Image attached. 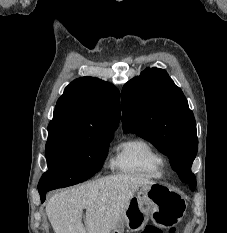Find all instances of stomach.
I'll return each mask as SVG.
<instances>
[{
  "mask_svg": "<svg viewBox=\"0 0 227 233\" xmlns=\"http://www.w3.org/2000/svg\"><path fill=\"white\" fill-rule=\"evenodd\" d=\"M187 203L182 194L162 183L141 187L110 233L124 229L141 230L149 219L160 227H172L181 221Z\"/></svg>",
  "mask_w": 227,
  "mask_h": 233,
  "instance_id": "1",
  "label": "stomach"
}]
</instances>
